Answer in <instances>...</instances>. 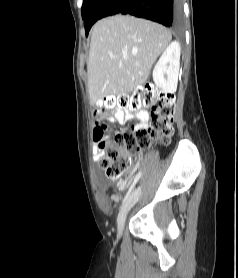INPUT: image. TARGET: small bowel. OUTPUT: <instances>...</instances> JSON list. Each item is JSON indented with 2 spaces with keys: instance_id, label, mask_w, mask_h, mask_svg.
<instances>
[{
  "instance_id": "1",
  "label": "small bowel",
  "mask_w": 238,
  "mask_h": 278,
  "mask_svg": "<svg viewBox=\"0 0 238 278\" xmlns=\"http://www.w3.org/2000/svg\"><path fill=\"white\" fill-rule=\"evenodd\" d=\"M136 117L139 122L135 125H133V129L137 130V129H141V128H147L148 127V120L149 117L147 115V113L142 112V111H137V112H132L130 110H126V111H120V110H116L113 111L111 113H108L107 111H105L104 113L101 114V120L106 121L110 124H114L116 122L119 123H125L126 121L132 119L133 117ZM106 136L104 135V140H106ZM95 141L98 143V146L95 149L94 152V156L97 160L100 159V157L102 156V148L100 146V142L101 140H97L95 139ZM128 182V179H125L123 181L120 182L119 187L123 188ZM120 198L119 195H114V199L118 200Z\"/></svg>"
}]
</instances>
